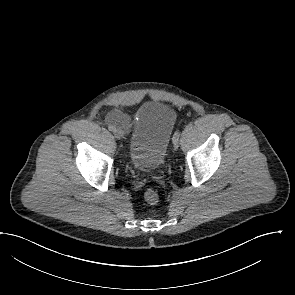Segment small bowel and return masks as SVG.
Returning a JSON list of instances; mask_svg holds the SVG:
<instances>
[{
	"instance_id": "obj_1",
	"label": "small bowel",
	"mask_w": 295,
	"mask_h": 295,
	"mask_svg": "<svg viewBox=\"0 0 295 295\" xmlns=\"http://www.w3.org/2000/svg\"><path fill=\"white\" fill-rule=\"evenodd\" d=\"M110 120L121 126L122 128L127 129L129 127L130 120L129 118L123 113H114L111 115Z\"/></svg>"
}]
</instances>
